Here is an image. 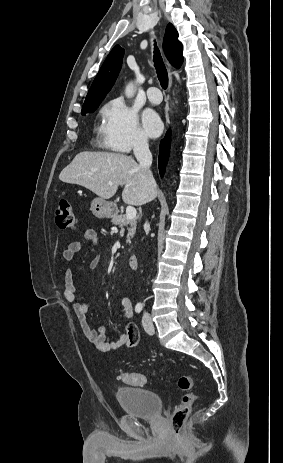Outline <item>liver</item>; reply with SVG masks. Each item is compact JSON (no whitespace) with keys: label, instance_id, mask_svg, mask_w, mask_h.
<instances>
[{"label":"liver","instance_id":"1","mask_svg":"<svg viewBox=\"0 0 283 463\" xmlns=\"http://www.w3.org/2000/svg\"><path fill=\"white\" fill-rule=\"evenodd\" d=\"M59 179L83 186L103 199L112 198L118 187L124 186L122 199L132 205H143L157 195L156 183L147 186L140 165L122 153L81 152L61 171Z\"/></svg>","mask_w":283,"mask_h":463}]
</instances>
